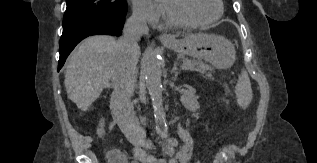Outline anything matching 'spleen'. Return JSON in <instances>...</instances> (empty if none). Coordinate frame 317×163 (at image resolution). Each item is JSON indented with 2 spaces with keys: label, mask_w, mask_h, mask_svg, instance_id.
<instances>
[{
  "label": "spleen",
  "mask_w": 317,
  "mask_h": 163,
  "mask_svg": "<svg viewBox=\"0 0 317 163\" xmlns=\"http://www.w3.org/2000/svg\"><path fill=\"white\" fill-rule=\"evenodd\" d=\"M235 94L239 105L242 107H246L251 101L252 89L246 70H243L239 76V80L235 86Z\"/></svg>",
  "instance_id": "3e777b00"
}]
</instances>
